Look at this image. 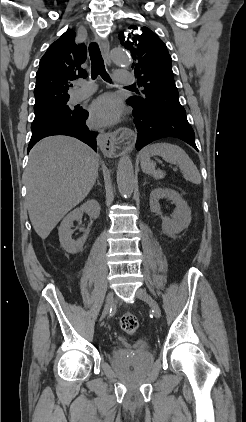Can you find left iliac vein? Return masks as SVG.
Segmentation results:
<instances>
[{"instance_id": "obj_1", "label": "left iliac vein", "mask_w": 246, "mask_h": 422, "mask_svg": "<svg viewBox=\"0 0 246 422\" xmlns=\"http://www.w3.org/2000/svg\"><path fill=\"white\" fill-rule=\"evenodd\" d=\"M136 297L144 302H146L153 311V314L156 318L161 317V309L155 299L147 293L146 290L139 288L136 291Z\"/></svg>"}]
</instances>
